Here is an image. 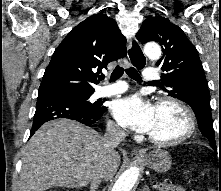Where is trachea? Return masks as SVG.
<instances>
[{"mask_svg": "<svg viewBox=\"0 0 221 191\" xmlns=\"http://www.w3.org/2000/svg\"><path fill=\"white\" fill-rule=\"evenodd\" d=\"M124 71L127 73V75L129 76V77H131L132 79H134L135 81H139V82H141L142 81V78H141V76H140V74L134 69V68H129V69H126V70H124V68L123 67H121V66H117L114 70H113V72H112V74H111V81H115V80H117V79H119L122 75H123V73H124ZM105 78V76H100V80H103ZM150 84H158V83H156V82H150Z\"/></svg>", "mask_w": 221, "mask_h": 191, "instance_id": "3493384b", "label": "trachea"}]
</instances>
